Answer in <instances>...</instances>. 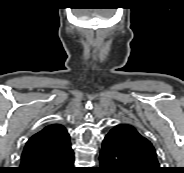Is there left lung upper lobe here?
Wrapping results in <instances>:
<instances>
[{
	"label": "left lung upper lobe",
	"mask_w": 184,
	"mask_h": 173,
	"mask_svg": "<svg viewBox=\"0 0 184 173\" xmlns=\"http://www.w3.org/2000/svg\"><path fill=\"white\" fill-rule=\"evenodd\" d=\"M108 135L113 137L120 152L125 154L139 173H161L156 151L151 142L126 123L116 125Z\"/></svg>",
	"instance_id": "obj_1"
}]
</instances>
